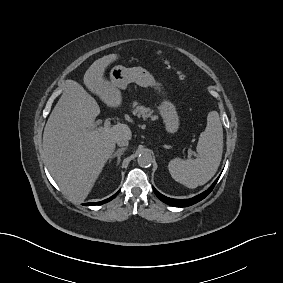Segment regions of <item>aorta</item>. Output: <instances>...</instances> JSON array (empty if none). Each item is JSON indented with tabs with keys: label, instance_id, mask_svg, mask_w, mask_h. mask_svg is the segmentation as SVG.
<instances>
[{
	"label": "aorta",
	"instance_id": "1",
	"mask_svg": "<svg viewBox=\"0 0 283 283\" xmlns=\"http://www.w3.org/2000/svg\"><path fill=\"white\" fill-rule=\"evenodd\" d=\"M137 161L140 167L147 168L151 166L153 162L152 155L149 152H142L139 154Z\"/></svg>",
	"mask_w": 283,
	"mask_h": 283
}]
</instances>
